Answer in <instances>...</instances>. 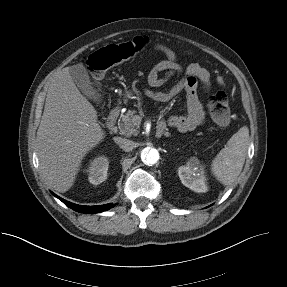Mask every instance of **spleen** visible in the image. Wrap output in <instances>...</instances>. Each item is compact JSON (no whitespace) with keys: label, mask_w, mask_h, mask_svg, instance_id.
I'll use <instances>...</instances> for the list:
<instances>
[{"label":"spleen","mask_w":287,"mask_h":287,"mask_svg":"<svg viewBox=\"0 0 287 287\" xmlns=\"http://www.w3.org/2000/svg\"><path fill=\"white\" fill-rule=\"evenodd\" d=\"M249 145V129L241 127L217 154L211 164L212 174L224 185L232 184L242 171Z\"/></svg>","instance_id":"spleen-1"}]
</instances>
